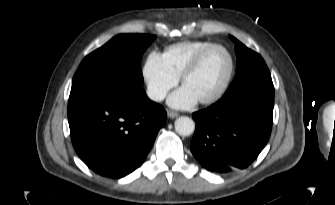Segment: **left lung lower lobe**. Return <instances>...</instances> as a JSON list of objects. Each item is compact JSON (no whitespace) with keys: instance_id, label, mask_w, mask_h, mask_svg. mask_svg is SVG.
<instances>
[{"instance_id":"1","label":"left lung lower lobe","mask_w":335,"mask_h":205,"mask_svg":"<svg viewBox=\"0 0 335 205\" xmlns=\"http://www.w3.org/2000/svg\"><path fill=\"white\" fill-rule=\"evenodd\" d=\"M274 96L247 90L223 96L193 113L196 130L190 149L209 171L228 173L250 165L272 130Z\"/></svg>"}]
</instances>
